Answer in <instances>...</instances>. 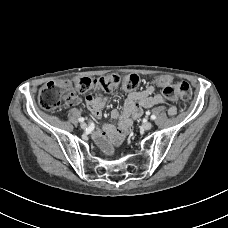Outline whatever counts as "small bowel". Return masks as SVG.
<instances>
[{"mask_svg":"<svg viewBox=\"0 0 228 228\" xmlns=\"http://www.w3.org/2000/svg\"><path fill=\"white\" fill-rule=\"evenodd\" d=\"M155 88L148 86L138 91L130 92L125 100L121 112L114 109L110 112V119L117 120L116 123H106L94 132L96 141L107 151H111L113 146L122 142L129 133L133 120L143 114V109L151 108L158 104H167L166 98L161 94H155ZM86 106L92 116L96 119L102 117V110L107 103V97L103 94L87 96ZM168 114L175 115V106L168 104Z\"/></svg>","mask_w":228,"mask_h":228,"instance_id":"1","label":"small bowel"}]
</instances>
